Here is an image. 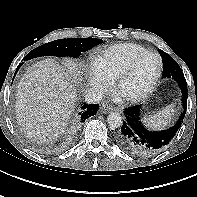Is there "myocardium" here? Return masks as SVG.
<instances>
[{
	"instance_id": "1",
	"label": "myocardium",
	"mask_w": 197,
	"mask_h": 197,
	"mask_svg": "<svg viewBox=\"0 0 197 197\" xmlns=\"http://www.w3.org/2000/svg\"><path fill=\"white\" fill-rule=\"evenodd\" d=\"M147 56H155L158 60V70L148 87L142 91L139 94L135 95H127L122 92V87L128 77L131 75L132 71L134 70L135 66L138 64L139 61H141L143 58ZM163 71V61L161 56L156 52L147 51L145 53L139 54L136 57H134L128 65L122 70V72L118 75V77L115 79L114 85H113V93L116 96L118 100L124 103H137L144 99H146L155 89Z\"/></svg>"
}]
</instances>
